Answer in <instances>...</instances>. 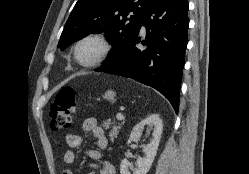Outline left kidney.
<instances>
[{
	"instance_id": "1",
	"label": "left kidney",
	"mask_w": 249,
	"mask_h": 174,
	"mask_svg": "<svg viewBox=\"0 0 249 174\" xmlns=\"http://www.w3.org/2000/svg\"><path fill=\"white\" fill-rule=\"evenodd\" d=\"M145 125L154 128L152 134L153 138L151 139L150 143L143 148L145 157L137 159V168H134L133 164L130 163L127 159H123L120 165V174H130L128 170L129 168L133 170V174H147V172L151 168L163 130L162 120L160 119L159 115L151 114L147 118L143 119L140 123H138L133 128L127 144H130L132 141H136L140 138L141 132Z\"/></svg>"
}]
</instances>
